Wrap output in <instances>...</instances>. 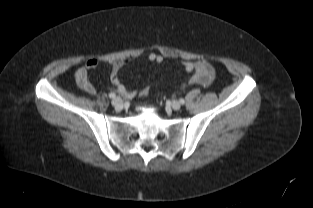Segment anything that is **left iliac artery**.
Masks as SVG:
<instances>
[{
    "label": "left iliac artery",
    "mask_w": 313,
    "mask_h": 208,
    "mask_svg": "<svg viewBox=\"0 0 313 208\" xmlns=\"http://www.w3.org/2000/svg\"><path fill=\"white\" fill-rule=\"evenodd\" d=\"M179 101H180L181 104H184V103H185V100L182 99V98H181Z\"/></svg>",
    "instance_id": "left-iliac-artery-1"
}]
</instances>
